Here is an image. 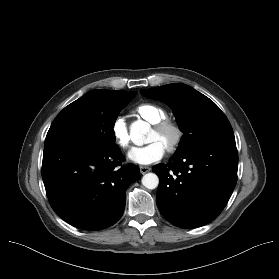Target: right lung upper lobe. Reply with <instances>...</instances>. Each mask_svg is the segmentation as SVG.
<instances>
[{
  "instance_id": "1",
  "label": "right lung upper lobe",
  "mask_w": 279,
  "mask_h": 279,
  "mask_svg": "<svg viewBox=\"0 0 279 279\" xmlns=\"http://www.w3.org/2000/svg\"><path fill=\"white\" fill-rule=\"evenodd\" d=\"M98 95L118 97V96H134L133 92L130 91H116V90H93L91 91Z\"/></svg>"
}]
</instances>
